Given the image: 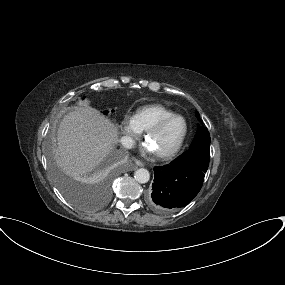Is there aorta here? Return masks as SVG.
I'll use <instances>...</instances> for the list:
<instances>
[{
	"instance_id": "obj_1",
	"label": "aorta",
	"mask_w": 285,
	"mask_h": 285,
	"mask_svg": "<svg viewBox=\"0 0 285 285\" xmlns=\"http://www.w3.org/2000/svg\"><path fill=\"white\" fill-rule=\"evenodd\" d=\"M135 180L141 184L147 183L150 179V173L145 168H139L134 174Z\"/></svg>"
}]
</instances>
